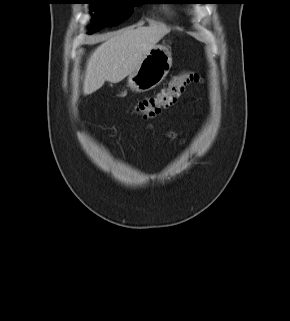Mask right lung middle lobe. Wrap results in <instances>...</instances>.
<instances>
[{
  "mask_svg": "<svg viewBox=\"0 0 290 321\" xmlns=\"http://www.w3.org/2000/svg\"><path fill=\"white\" fill-rule=\"evenodd\" d=\"M134 0H88L92 4L94 14V30L101 29L104 26H115L133 12V7L140 3L133 2Z\"/></svg>",
  "mask_w": 290,
  "mask_h": 321,
  "instance_id": "dd1d6c3e",
  "label": "right lung middle lobe"
}]
</instances>
